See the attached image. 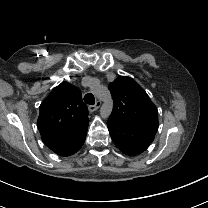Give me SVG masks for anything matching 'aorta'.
Listing matches in <instances>:
<instances>
[{"mask_svg":"<svg viewBox=\"0 0 208 208\" xmlns=\"http://www.w3.org/2000/svg\"><path fill=\"white\" fill-rule=\"evenodd\" d=\"M109 113H110V109L107 108L105 105H103L101 108V115L107 117Z\"/></svg>","mask_w":208,"mask_h":208,"instance_id":"1","label":"aorta"}]
</instances>
